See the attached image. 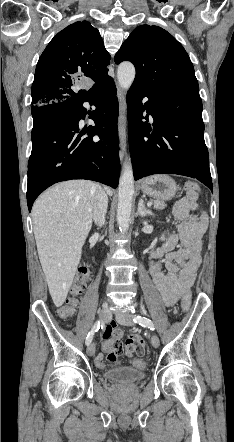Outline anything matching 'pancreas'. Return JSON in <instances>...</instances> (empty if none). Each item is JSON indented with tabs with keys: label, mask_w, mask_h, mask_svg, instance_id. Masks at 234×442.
<instances>
[{
	"label": "pancreas",
	"mask_w": 234,
	"mask_h": 442,
	"mask_svg": "<svg viewBox=\"0 0 234 442\" xmlns=\"http://www.w3.org/2000/svg\"><path fill=\"white\" fill-rule=\"evenodd\" d=\"M153 204H154V208L155 209H164L166 207V204L164 201L161 200H152Z\"/></svg>",
	"instance_id": "cf45deb5"
}]
</instances>
